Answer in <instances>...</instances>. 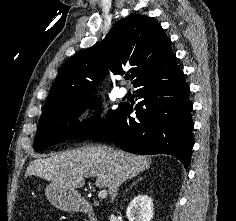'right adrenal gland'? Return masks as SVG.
Wrapping results in <instances>:
<instances>
[{
  "label": "right adrenal gland",
  "mask_w": 236,
  "mask_h": 221,
  "mask_svg": "<svg viewBox=\"0 0 236 221\" xmlns=\"http://www.w3.org/2000/svg\"><path fill=\"white\" fill-rule=\"evenodd\" d=\"M143 178L142 177H140V178H138L136 181H134L132 184H131V186H130V189L136 184V183H138L139 181H141ZM128 191V189L126 190V192Z\"/></svg>",
  "instance_id": "obj_1"
}]
</instances>
